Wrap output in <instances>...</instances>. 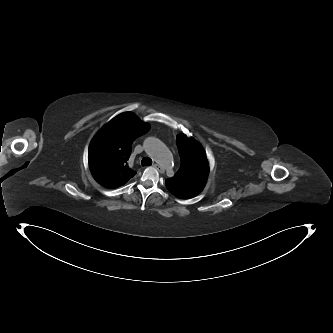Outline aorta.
<instances>
[{
	"instance_id": "762f6f07",
	"label": "aorta",
	"mask_w": 333,
	"mask_h": 333,
	"mask_svg": "<svg viewBox=\"0 0 333 333\" xmlns=\"http://www.w3.org/2000/svg\"><path fill=\"white\" fill-rule=\"evenodd\" d=\"M146 153L162 169H169L172 166L173 158L168 147L156 137H148L144 141Z\"/></svg>"
}]
</instances>
